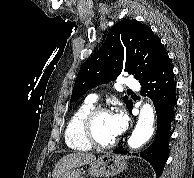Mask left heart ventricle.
<instances>
[{"mask_svg":"<svg viewBox=\"0 0 194 178\" xmlns=\"http://www.w3.org/2000/svg\"><path fill=\"white\" fill-rule=\"evenodd\" d=\"M94 134L98 141L106 143L113 140L116 134L112 128V114H100L94 121Z\"/></svg>","mask_w":194,"mask_h":178,"instance_id":"obj_1","label":"left heart ventricle"}]
</instances>
